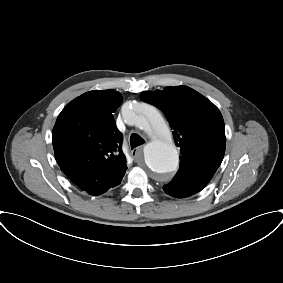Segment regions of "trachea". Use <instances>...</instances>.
Instances as JSON below:
<instances>
[{"instance_id": "3493384b", "label": "trachea", "mask_w": 283, "mask_h": 283, "mask_svg": "<svg viewBox=\"0 0 283 283\" xmlns=\"http://www.w3.org/2000/svg\"><path fill=\"white\" fill-rule=\"evenodd\" d=\"M144 143H145L144 139L142 137H140L138 134L133 133L131 135V137H130V145H131L132 149L137 147V146H139V145H142Z\"/></svg>"}]
</instances>
